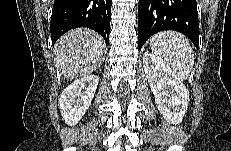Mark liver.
<instances>
[{
	"label": "liver",
	"instance_id": "1",
	"mask_svg": "<svg viewBox=\"0 0 231 151\" xmlns=\"http://www.w3.org/2000/svg\"><path fill=\"white\" fill-rule=\"evenodd\" d=\"M104 49V40L95 31L87 28L71 30L55 44V66L67 79L90 75L101 64Z\"/></svg>",
	"mask_w": 231,
	"mask_h": 151
}]
</instances>
